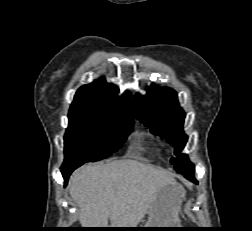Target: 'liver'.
<instances>
[{
	"mask_svg": "<svg viewBox=\"0 0 252 231\" xmlns=\"http://www.w3.org/2000/svg\"><path fill=\"white\" fill-rule=\"evenodd\" d=\"M174 181L162 168L132 159L84 165L68 188L84 228H136L159 190Z\"/></svg>",
	"mask_w": 252,
	"mask_h": 231,
	"instance_id": "6515ba94",
	"label": "liver"
}]
</instances>
